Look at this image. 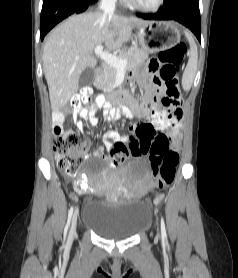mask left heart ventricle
<instances>
[{
    "instance_id": "obj_1",
    "label": "left heart ventricle",
    "mask_w": 238,
    "mask_h": 278,
    "mask_svg": "<svg viewBox=\"0 0 238 278\" xmlns=\"http://www.w3.org/2000/svg\"><path fill=\"white\" fill-rule=\"evenodd\" d=\"M136 1H138L140 4L144 6H152L156 3L157 0H136Z\"/></svg>"
}]
</instances>
